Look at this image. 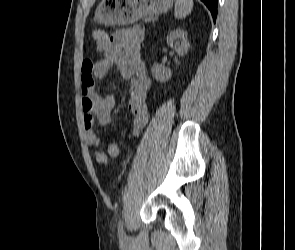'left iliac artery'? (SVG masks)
I'll return each mask as SVG.
<instances>
[{
	"instance_id": "obj_1",
	"label": "left iliac artery",
	"mask_w": 295,
	"mask_h": 250,
	"mask_svg": "<svg viewBox=\"0 0 295 250\" xmlns=\"http://www.w3.org/2000/svg\"><path fill=\"white\" fill-rule=\"evenodd\" d=\"M118 235H119V238H124L125 236V233L123 230V221L121 219L118 222Z\"/></svg>"
}]
</instances>
